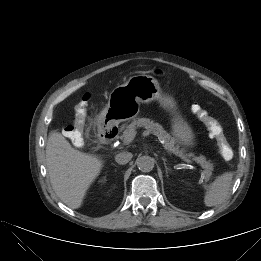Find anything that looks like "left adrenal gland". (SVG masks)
Wrapping results in <instances>:
<instances>
[{
	"label": "left adrenal gland",
	"instance_id": "a2214340",
	"mask_svg": "<svg viewBox=\"0 0 261 261\" xmlns=\"http://www.w3.org/2000/svg\"><path fill=\"white\" fill-rule=\"evenodd\" d=\"M163 162H164V167H165V171L167 173V176H169V169L167 167V164H166V159L165 158H162Z\"/></svg>",
	"mask_w": 261,
	"mask_h": 261
}]
</instances>
